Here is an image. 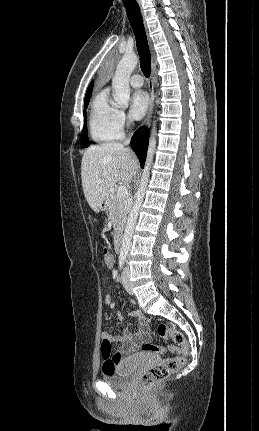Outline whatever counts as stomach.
<instances>
[{"instance_id":"1","label":"stomach","mask_w":259,"mask_h":431,"mask_svg":"<svg viewBox=\"0 0 259 431\" xmlns=\"http://www.w3.org/2000/svg\"><path fill=\"white\" fill-rule=\"evenodd\" d=\"M107 208H108V201L106 200V201H104V202L101 204L100 209H101V210H106Z\"/></svg>"}]
</instances>
